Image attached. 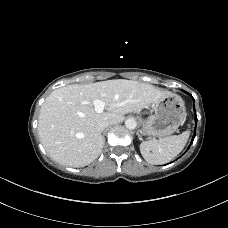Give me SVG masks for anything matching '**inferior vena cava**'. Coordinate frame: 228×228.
<instances>
[{
  "mask_svg": "<svg viewBox=\"0 0 228 228\" xmlns=\"http://www.w3.org/2000/svg\"><path fill=\"white\" fill-rule=\"evenodd\" d=\"M110 125L108 121H102L96 124V129L100 132H102L105 128H107Z\"/></svg>",
  "mask_w": 228,
  "mask_h": 228,
  "instance_id": "inferior-vena-cava-1",
  "label": "inferior vena cava"
}]
</instances>
